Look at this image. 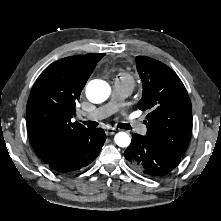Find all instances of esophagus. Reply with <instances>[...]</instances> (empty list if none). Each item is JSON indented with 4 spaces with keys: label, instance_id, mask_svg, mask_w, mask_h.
Here are the masks:
<instances>
[{
    "label": "esophagus",
    "instance_id": "34e87169",
    "mask_svg": "<svg viewBox=\"0 0 221 221\" xmlns=\"http://www.w3.org/2000/svg\"><path fill=\"white\" fill-rule=\"evenodd\" d=\"M116 132L115 128H107L105 133L106 135H113Z\"/></svg>",
    "mask_w": 221,
    "mask_h": 221
}]
</instances>
